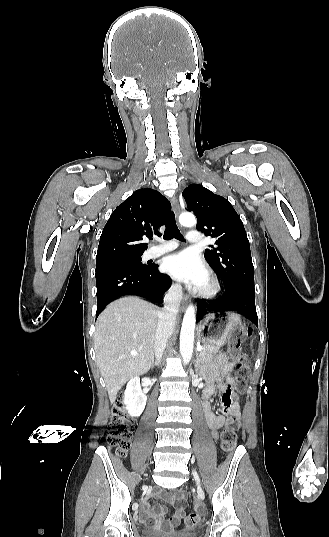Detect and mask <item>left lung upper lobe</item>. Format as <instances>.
<instances>
[{
    "label": "left lung upper lobe",
    "mask_w": 329,
    "mask_h": 537,
    "mask_svg": "<svg viewBox=\"0 0 329 537\" xmlns=\"http://www.w3.org/2000/svg\"><path fill=\"white\" fill-rule=\"evenodd\" d=\"M183 196L197 217V230L216 238L215 247L205 250V259L220 276L225 289L254 286V267L243 223L230 204L199 184H191Z\"/></svg>",
    "instance_id": "5c2ea615"
}]
</instances>
